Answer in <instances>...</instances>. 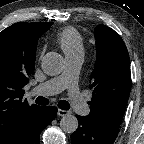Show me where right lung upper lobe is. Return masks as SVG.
Wrapping results in <instances>:
<instances>
[{"label": "right lung upper lobe", "instance_id": "right-lung-upper-lobe-1", "mask_svg": "<svg viewBox=\"0 0 144 144\" xmlns=\"http://www.w3.org/2000/svg\"><path fill=\"white\" fill-rule=\"evenodd\" d=\"M52 22L16 23L0 33V144L10 142L39 106L23 98L39 37Z\"/></svg>", "mask_w": 144, "mask_h": 144}]
</instances>
